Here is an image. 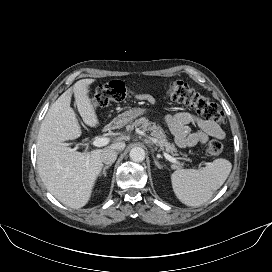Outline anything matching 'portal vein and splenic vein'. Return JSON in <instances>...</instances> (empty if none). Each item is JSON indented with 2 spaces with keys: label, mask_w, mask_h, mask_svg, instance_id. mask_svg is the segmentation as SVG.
I'll use <instances>...</instances> for the list:
<instances>
[{
  "label": "portal vein and splenic vein",
  "mask_w": 272,
  "mask_h": 272,
  "mask_svg": "<svg viewBox=\"0 0 272 272\" xmlns=\"http://www.w3.org/2000/svg\"><path fill=\"white\" fill-rule=\"evenodd\" d=\"M110 142L109 138L107 137H101V138H96L93 140L92 144L96 147H102V146H105L107 145L108 143ZM164 157L169 160L170 162L172 163H178L177 159L170 156L169 154L167 153H164Z\"/></svg>",
  "instance_id": "obj_1"
}]
</instances>
